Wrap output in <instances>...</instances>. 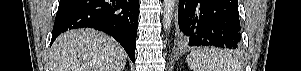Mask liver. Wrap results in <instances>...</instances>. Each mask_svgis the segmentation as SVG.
I'll return each mask as SVG.
<instances>
[{
	"mask_svg": "<svg viewBox=\"0 0 301 71\" xmlns=\"http://www.w3.org/2000/svg\"><path fill=\"white\" fill-rule=\"evenodd\" d=\"M50 71H123L127 54L110 36L93 29L61 34L50 50Z\"/></svg>",
	"mask_w": 301,
	"mask_h": 71,
	"instance_id": "obj_1",
	"label": "liver"
}]
</instances>
